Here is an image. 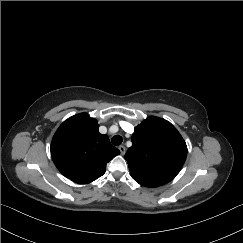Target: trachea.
Segmentation results:
<instances>
[{
  "mask_svg": "<svg viewBox=\"0 0 243 243\" xmlns=\"http://www.w3.org/2000/svg\"><path fill=\"white\" fill-rule=\"evenodd\" d=\"M111 142L115 146H119L123 142V138L120 135H115L112 137Z\"/></svg>",
  "mask_w": 243,
  "mask_h": 243,
  "instance_id": "3493384b",
  "label": "trachea"
}]
</instances>
